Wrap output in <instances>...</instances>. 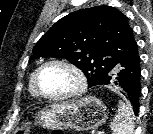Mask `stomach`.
<instances>
[{
    "label": "stomach",
    "instance_id": "0dacf381",
    "mask_svg": "<svg viewBox=\"0 0 153 134\" xmlns=\"http://www.w3.org/2000/svg\"><path fill=\"white\" fill-rule=\"evenodd\" d=\"M106 120V106L99 99L89 96L72 103L46 106L36 114L35 123L50 130L72 128L76 131H88L101 126ZM27 124L16 132L29 134Z\"/></svg>",
    "mask_w": 153,
    "mask_h": 134
}]
</instances>
